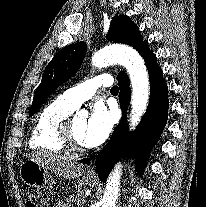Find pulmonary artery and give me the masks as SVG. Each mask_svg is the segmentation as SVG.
<instances>
[{"label":"pulmonary artery","instance_id":"1","mask_svg":"<svg viewBox=\"0 0 206 207\" xmlns=\"http://www.w3.org/2000/svg\"><path fill=\"white\" fill-rule=\"evenodd\" d=\"M113 78L109 74L95 76L80 85L66 90L61 96L72 108L77 109L84 101L91 98L100 86H110Z\"/></svg>","mask_w":206,"mask_h":207}]
</instances>
